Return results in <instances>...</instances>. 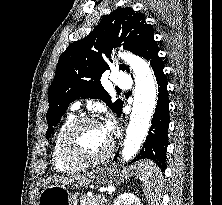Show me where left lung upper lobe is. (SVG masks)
<instances>
[{"label":"left lung upper lobe","instance_id":"5c2ea615","mask_svg":"<svg viewBox=\"0 0 222 205\" xmlns=\"http://www.w3.org/2000/svg\"><path fill=\"white\" fill-rule=\"evenodd\" d=\"M152 34L154 31L146 24L142 13L129 7L118 8L105 16L87 37L72 43L61 54L55 78L48 90L46 138L51 136L53 127L58 124L69 104L80 97L101 99L119 115L123 102L118 99L111 103V97L100 82L102 74L109 69L103 55L110 59L112 49L123 46L140 56ZM119 69L130 71L124 64Z\"/></svg>","mask_w":222,"mask_h":205}]
</instances>
